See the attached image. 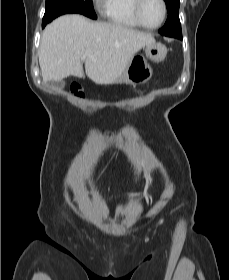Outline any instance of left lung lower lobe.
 <instances>
[{
  "mask_svg": "<svg viewBox=\"0 0 229 280\" xmlns=\"http://www.w3.org/2000/svg\"><path fill=\"white\" fill-rule=\"evenodd\" d=\"M177 38L182 39V35H180V36H179V37H177Z\"/></svg>",
  "mask_w": 229,
  "mask_h": 280,
  "instance_id": "0a47b994",
  "label": "left lung lower lobe"
}]
</instances>
